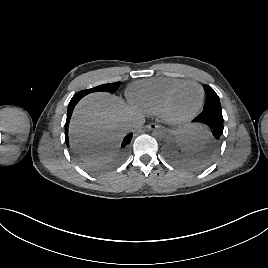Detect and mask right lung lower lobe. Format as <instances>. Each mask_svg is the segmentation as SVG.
Wrapping results in <instances>:
<instances>
[{"instance_id":"1","label":"right lung lower lobe","mask_w":268,"mask_h":268,"mask_svg":"<svg viewBox=\"0 0 268 268\" xmlns=\"http://www.w3.org/2000/svg\"><path fill=\"white\" fill-rule=\"evenodd\" d=\"M80 99H81V97L73 96L71 101H70V103H69V105H68L67 119H66V123H65V143H66V145L68 147H69L68 126H69L70 118H71L72 112L74 110V107L79 102ZM132 137H133V134L129 133L123 139V141L121 143V147H120L121 156H124L126 154V152L128 150L129 143L131 142Z\"/></svg>"}]
</instances>
